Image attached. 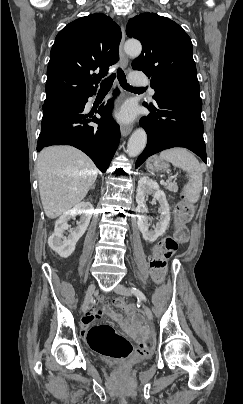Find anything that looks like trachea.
I'll use <instances>...</instances> for the list:
<instances>
[{"label": "trachea", "instance_id": "obj_1", "mask_svg": "<svg viewBox=\"0 0 243 404\" xmlns=\"http://www.w3.org/2000/svg\"><path fill=\"white\" fill-rule=\"evenodd\" d=\"M115 77L116 75L112 74L110 75V77L103 80V82H101L100 91H109L112 87ZM117 78L119 80L121 87H123L125 90H139L143 88V87H132L131 85H129L126 81L125 74L121 68H118L117 70Z\"/></svg>", "mask_w": 243, "mask_h": 404}]
</instances>
